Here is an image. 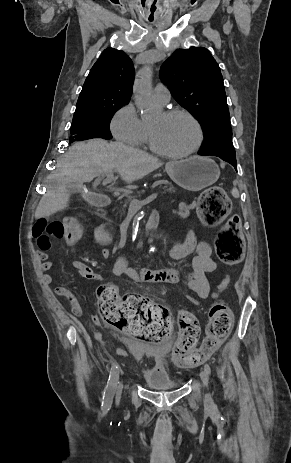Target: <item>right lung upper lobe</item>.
Here are the masks:
<instances>
[{
    "instance_id": "obj_1",
    "label": "right lung upper lobe",
    "mask_w": 291,
    "mask_h": 463,
    "mask_svg": "<svg viewBox=\"0 0 291 463\" xmlns=\"http://www.w3.org/2000/svg\"><path fill=\"white\" fill-rule=\"evenodd\" d=\"M134 67L125 52L105 49L87 76L74 115L97 110L106 101L128 102L133 89Z\"/></svg>"
}]
</instances>
